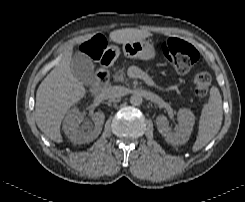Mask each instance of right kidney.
I'll list each match as a JSON object with an SVG mask.
<instances>
[{
    "label": "right kidney",
    "instance_id": "obj_1",
    "mask_svg": "<svg viewBox=\"0 0 245 202\" xmlns=\"http://www.w3.org/2000/svg\"><path fill=\"white\" fill-rule=\"evenodd\" d=\"M83 119L84 115L77 107L72 108L64 119L63 130L75 144L88 143L96 139L102 131L105 115L103 112H96L93 115L94 124L88 120L80 126Z\"/></svg>",
    "mask_w": 245,
    "mask_h": 202
}]
</instances>
